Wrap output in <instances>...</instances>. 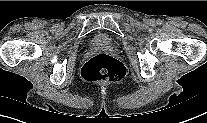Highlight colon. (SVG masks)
<instances>
[{"instance_id":"obj_1","label":"colon","mask_w":207,"mask_h":123,"mask_svg":"<svg viewBox=\"0 0 207 123\" xmlns=\"http://www.w3.org/2000/svg\"><path fill=\"white\" fill-rule=\"evenodd\" d=\"M82 76L91 82H115L125 75L123 64L107 54H97L88 59L82 67Z\"/></svg>"}]
</instances>
